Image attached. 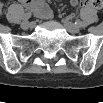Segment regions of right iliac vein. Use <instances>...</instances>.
<instances>
[{"label": "right iliac vein", "mask_w": 103, "mask_h": 103, "mask_svg": "<svg viewBox=\"0 0 103 103\" xmlns=\"http://www.w3.org/2000/svg\"><path fill=\"white\" fill-rule=\"evenodd\" d=\"M31 26V23L29 22V21H23L22 23H21V28L22 29H28L29 27Z\"/></svg>", "instance_id": "right-iliac-vein-1"}]
</instances>
